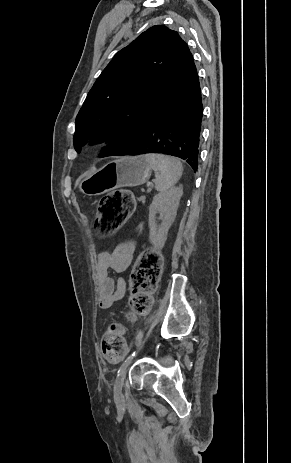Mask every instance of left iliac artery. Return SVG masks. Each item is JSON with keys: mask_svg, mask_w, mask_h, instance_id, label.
Returning <instances> with one entry per match:
<instances>
[{"mask_svg": "<svg viewBox=\"0 0 291 463\" xmlns=\"http://www.w3.org/2000/svg\"><path fill=\"white\" fill-rule=\"evenodd\" d=\"M135 356V351L129 355L126 360L123 362V364L120 366L119 370H118V375L127 367V365H129L133 359V357Z\"/></svg>", "mask_w": 291, "mask_h": 463, "instance_id": "1", "label": "left iliac artery"}]
</instances>
